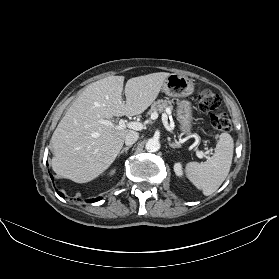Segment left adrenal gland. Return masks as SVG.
Returning <instances> with one entry per match:
<instances>
[{
    "instance_id": "a2214340",
    "label": "left adrenal gland",
    "mask_w": 279,
    "mask_h": 279,
    "mask_svg": "<svg viewBox=\"0 0 279 279\" xmlns=\"http://www.w3.org/2000/svg\"><path fill=\"white\" fill-rule=\"evenodd\" d=\"M168 144L171 148H179L180 147V145L178 143H171L170 140H169Z\"/></svg>"
}]
</instances>
